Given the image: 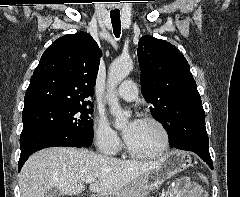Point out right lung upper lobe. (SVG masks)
I'll list each match as a JSON object with an SVG mask.
<instances>
[{"label": "right lung upper lobe", "mask_w": 240, "mask_h": 197, "mask_svg": "<svg viewBox=\"0 0 240 197\" xmlns=\"http://www.w3.org/2000/svg\"><path fill=\"white\" fill-rule=\"evenodd\" d=\"M101 50L86 32L67 34L43 53L24 98V110L49 104H83L94 94Z\"/></svg>", "instance_id": "right-lung-upper-lobe-1"}]
</instances>
